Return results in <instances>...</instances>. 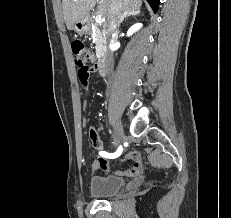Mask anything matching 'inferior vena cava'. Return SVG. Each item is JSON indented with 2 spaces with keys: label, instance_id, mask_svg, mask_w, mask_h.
Wrapping results in <instances>:
<instances>
[{
  "label": "inferior vena cava",
  "instance_id": "inferior-vena-cava-1",
  "mask_svg": "<svg viewBox=\"0 0 231 218\" xmlns=\"http://www.w3.org/2000/svg\"><path fill=\"white\" fill-rule=\"evenodd\" d=\"M125 15V12H122V0H112L111 2V9L110 15L108 17V41L109 43H114L117 39V25L122 17ZM112 62V51L108 49L107 56H106V66L107 70L110 71Z\"/></svg>",
  "mask_w": 231,
  "mask_h": 218
}]
</instances>
